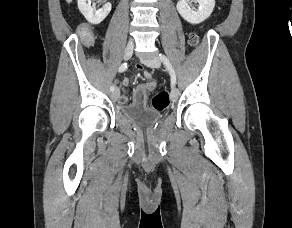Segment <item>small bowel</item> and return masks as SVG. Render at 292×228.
I'll return each instance as SVG.
<instances>
[{"instance_id": "small-bowel-1", "label": "small bowel", "mask_w": 292, "mask_h": 228, "mask_svg": "<svg viewBox=\"0 0 292 228\" xmlns=\"http://www.w3.org/2000/svg\"><path fill=\"white\" fill-rule=\"evenodd\" d=\"M136 69L138 71L142 72V75L144 76L145 79L150 80L151 79V73L143 68L142 65L138 64L136 65ZM130 83V77H125L122 82V93L120 96V102L122 104H127L129 97L126 93L125 87L128 86ZM155 88V84L152 82H148L146 84H140L138 85L134 92H133V105L135 106H146L147 105V99L148 95L153 91Z\"/></svg>"}]
</instances>
